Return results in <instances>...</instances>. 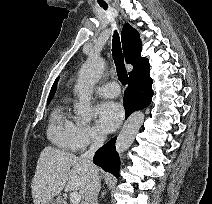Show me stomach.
Here are the masks:
<instances>
[{
  "instance_id": "0dacf381",
  "label": "stomach",
  "mask_w": 212,
  "mask_h": 204,
  "mask_svg": "<svg viewBox=\"0 0 212 204\" xmlns=\"http://www.w3.org/2000/svg\"><path fill=\"white\" fill-rule=\"evenodd\" d=\"M47 204H62L60 199H51Z\"/></svg>"
}]
</instances>
